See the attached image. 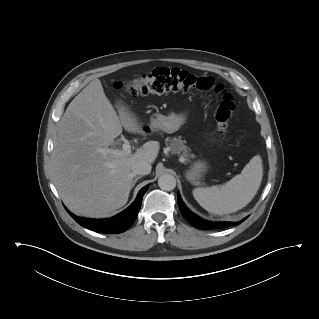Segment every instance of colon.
I'll list each match as a JSON object with an SVG mask.
<instances>
[{"instance_id":"5ec220e1","label":"colon","mask_w":319,"mask_h":319,"mask_svg":"<svg viewBox=\"0 0 319 319\" xmlns=\"http://www.w3.org/2000/svg\"><path fill=\"white\" fill-rule=\"evenodd\" d=\"M116 87L134 97L168 92L216 90L221 94V102L215 114L217 131L221 137L226 136L230 119L235 111L232 95L215 85L212 77L196 76L179 68L158 67L129 82L118 83Z\"/></svg>"}]
</instances>
